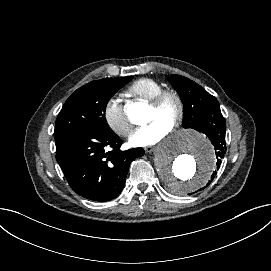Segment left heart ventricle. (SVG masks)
Masks as SVG:
<instances>
[{"label":"left heart ventricle","mask_w":271,"mask_h":271,"mask_svg":"<svg viewBox=\"0 0 271 271\" xmlns=\"http://www.w3.org/2000/svg\"><path fill=\"white\" fill-rule=\"evenodd\" d=\"M178 112V104L174 98H168L161 112L156 111L151 106L149 108L148 120L150 123L155 120H161L171 126V121Z\"/></svg>","instance_id":"1"}]
</instances>
